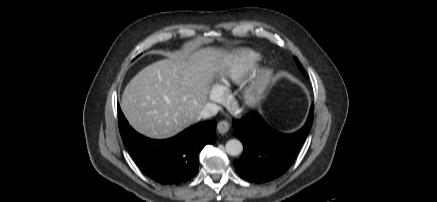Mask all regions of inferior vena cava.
Returning a JSON list of instances; mask_svg holds the SVG:
<instances>
[{
    "label": "inferior vena cava",
    "instance_id": "602c4592",
    "mask_svg": "<svg viewBox=\"0 0 437 202\" xmlns=\"http://www.w3.org/2000/svg\"><path fill=\"white\" fill-rule=\"evenodd\" d=\"M220 106L215 103H206L199 113V118H209L218 113Z\"/></svg>",
    "mask_w": 437,
    "mask_h": 202
}]
</instances>
